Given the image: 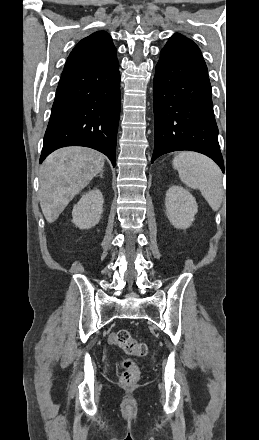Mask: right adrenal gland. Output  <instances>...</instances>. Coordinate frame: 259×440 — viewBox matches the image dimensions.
<instances>
[{"mask_svg": "<svg viewBox=\"0 0 259 440\" xmlns=\"http://www.w3.org/2000/svg\"><path fill=\"white\" fill-rule=\"evenodd\" d=\"M100 176H101V177H103V172H102V173H100Z\"/></svg>", "mask_w": 259, "mask_h": 440, "instance_id": "obj_1", "label": "right adrenal gland"}]
</instances>
